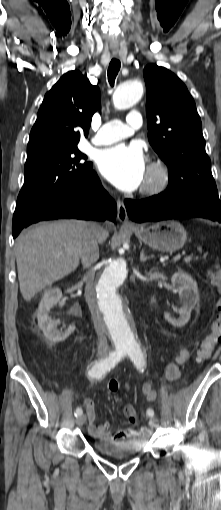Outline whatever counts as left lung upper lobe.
I'll list each match as a JSON object with an SVG mask.
<instances>
[{"mask_svg":"<svg viewBox=\"0 0 221 510\" xmlns=\"http://www.w3.org/2000/svg\"><path fill=\"white\" fill-rule=\"evenodd\" d=\"M148 139L169 169L165 197H218L194 100L171 71L149 64L143 71Z\"/></svg>","mask_w":221,"mask_h":510,"instance_id":"obj_1","label":"left lung upper lobe"}]
</instances>
